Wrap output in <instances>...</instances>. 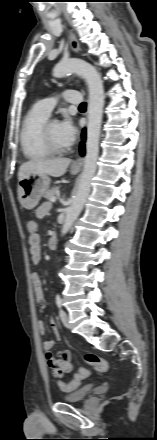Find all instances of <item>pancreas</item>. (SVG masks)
Here are the masks:
<instances>
[{
	"label": "pancreas",
	"mask_w": 157,
	"mask_h": 440,
	"mask_svg": "<svg viewBox=\"0 0 157 440\" xmlns=\"http://www.w3.org/2000/svg\"><path fill=\"white\" fill-rule=\"evenodd\" d=\"M58 191H59V187H55L49 190L48 192H46L44 198H46L47 200H51V198L54 197Z\"/></svg>",
	"instance_id": "pancreas-1"
}]
</instances>
